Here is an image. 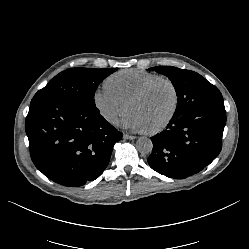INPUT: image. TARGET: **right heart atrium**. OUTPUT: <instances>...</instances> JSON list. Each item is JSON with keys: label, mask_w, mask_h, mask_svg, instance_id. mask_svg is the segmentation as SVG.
Here are the masks:
<instances>
[{"label": "right heart atrium", "mask_w": 249, "mask_h": 249, "mask_svg": "<svg viewBox=\"0 0 249 249\" xmlns=\"http://www.w3.org/2000/svg\"><path fill=\"white\" fill-rule=\"evenodd\" d=\"M93 104L99 115L110 124L116 122L127 106L126 101L110 91L106 86L95 90Z\"/></svg>", "instance_id": "obj_1"}]
</instances>
